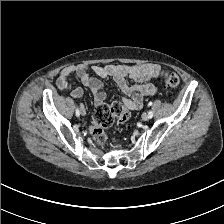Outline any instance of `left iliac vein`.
<instances>
[{"label": "left iliac vein", "mask_w": 224, "mask_h": 224, "mask_svg": "<svg viewBox=\"0 0 224 224\" xmlns=\"http://www.w3.org/2000/svg\"><path fill=\"white\" fill-rule=\"evenodd\" d=\"M142 119H143L144 121H147V120L149 119V115H148L147 113H143V114H142Z\"/></svg>", "instance_id": "4c4485c4"}]
</instances>
